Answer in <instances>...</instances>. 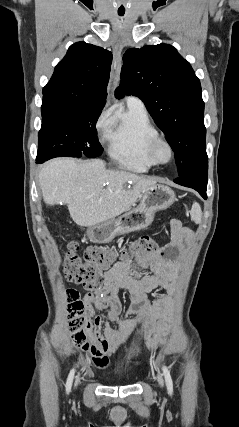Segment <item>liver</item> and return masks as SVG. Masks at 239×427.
Returning a JSON list of instances; mask_svg holds the SVG:
<instances>
[{
    "mask_svg": "<svg viewBox=\"0 0 239 427\" xmlns=\"http://www.w3.org/2000/svg\"><path fill=\"white\" fill-rule=\"evenodd\" d=\"M155 183L128 171L107 169L101 159L57 158L39 172L45 204H67L71 218L81 227L94 226L129 210L141 192Z\"/></svg>",
    "mask_w": 239,
    "mask_h": 427,
    "instance_id": "1",
    "label": "liver"
}]
</instances>
